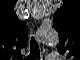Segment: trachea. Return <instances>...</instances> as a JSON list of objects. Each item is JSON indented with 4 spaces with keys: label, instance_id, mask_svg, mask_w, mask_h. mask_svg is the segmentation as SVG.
<instances>
[{
    "label": "trachea",
    "instance_id": "trachea-1",
    "mask_svg": "<svg viewBox=\"0 0 80 60\" xmlns=\"http://www.w3.org/2000/svg\"><path fill=\"white\" fill-rule=\"evenodd\" d=\"M30 52L32 54H35V53L39 52L38 44H37V42H36L34 37L31 38Z\"/></svg>",
    "mask_w": 80,
    "mask_h": 60
}]
</instances>
